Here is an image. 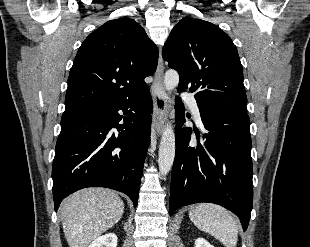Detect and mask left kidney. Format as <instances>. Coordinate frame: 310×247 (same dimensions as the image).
Returning a JSON list of instances; mask_svg holds the SVG:
<instances>
[{"label":"left kidney","instance_id":"obj_1","mask_svg":"<svg viewBox=\"0 0 310 247\" xmlns=\"http://www.w3.org/2000/svg\"><path fill=\"white\" fill-rule=\"evenodd\" d=\"M195 247H214L208 241L203 238H198L195 240Z\"/></svg>","mask_w":310,"mask_h":247}]
</instances>
